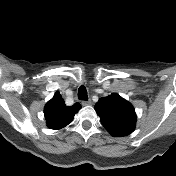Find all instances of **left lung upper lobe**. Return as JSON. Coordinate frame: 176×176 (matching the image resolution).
Instances as JSON below:
<instances>
[{
	"instance_id": "5c2ea615",
	"label": "left lung upper lobe",
	"mask_w": 176,
	"mask_h": 176,
	"mask_svg": "<svg viewBox=\"0 0 176 176\" xmlns=\"http://www.w3.org/2000/svg\"><path fill=\"white\" fill-rule=\"evenodd\" d=\"M95 110L105 129L115 137L131 134L135 129L136 113L133 106L116 93L100 98Z\"/></svg>"
}]
</instances>
